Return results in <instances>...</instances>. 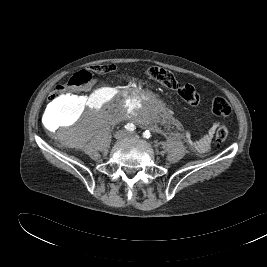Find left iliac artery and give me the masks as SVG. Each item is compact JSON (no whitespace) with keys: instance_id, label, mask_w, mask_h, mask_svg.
<instances>
[{"instance_id":"left-iliac-artery-1","label":"left iliac artery","mask_w":267,"mask_h":267,"mask_svg":"<svg viewBox=\"0 0 267 267\" xmlns=\"http://www.w3.org/2000/svg\"><path fill=\"white\" fill-rule=\"evenodd\" d=\"M143 137L146 139H150L152 137L150 131L146 130L143 132Z\"/></svg>"}]
</instances>
